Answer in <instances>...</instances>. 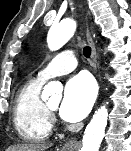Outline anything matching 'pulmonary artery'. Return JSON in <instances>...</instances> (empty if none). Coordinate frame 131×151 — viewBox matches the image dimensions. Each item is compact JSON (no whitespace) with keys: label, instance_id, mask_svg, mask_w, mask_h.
I'll use <instances>...</instances> for the list:
<instances>
[{"label":"pulmonary artery","instance_id":"1","mask_svg":"<svg viewBox=\"0 0 131 151\" xmlns=\"http://www.w3.org/2000/svg\"><path fill=\"white\" fill-rule=\"evenodd\" d=\"M77 66V60L72 51H63L57 54L50 62L38 73V78L47 80L49 78L67 74Z\"/></svg>","mask_w":131,"mask_h":151}]
</instances>
